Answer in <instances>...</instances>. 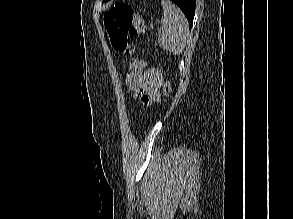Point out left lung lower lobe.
<instances>
[{"instance_id":"left-lung-lower-lobe-1","label":"left lung lower lobe","mask_w":293,"mask_h":219,"mask_svg":"<svg viewBox=\"0 0 293 219\" xmlns=\"http://www.w3.org/2000/svg\"><path fill=\"white\" fill-rule=\"evenodd\" d=\"M174 2L185 14L188 19L189 26L191 28L194 14H195V4L196 0H171Z\"/></svg>"}]
</instances>
